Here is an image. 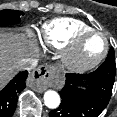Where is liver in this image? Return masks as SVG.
<instances>
[{
  "instance_id": "1",
  "label": "liver",
  "mask_w": 117,
  "mask_h": 117,
  "mask_svg": "<svg viewBox=\"0 0 117 117\" xmlns=\"http://www.w3.org/2000/svg\"><path fill=\"white\" fill-rule=\"evenodd\" d=\"M31 55L23 35L0 32V89L15 75L19 62Z\"/></svg>"
}]
</instances>
